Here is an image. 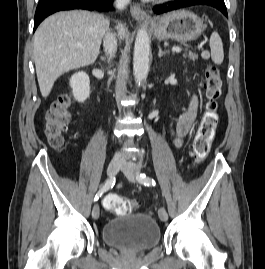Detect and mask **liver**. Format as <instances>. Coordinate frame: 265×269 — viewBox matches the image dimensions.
Returning <instances> with one entry per match:
<instances>
[{"instance_id":"6515ba94","label":"liver","mask_w":265,"mask_h":269,"mask_svg":"<svg viewBox=\"0 0 265 269\" xmlns=\"http://www.w3.org/2000/svg\"><path fill=\"white\" fill-rule=\"evenodd\" d=\"M109 26L103 15L89 11H64L45 19L33 38L37 79L43 97L55 81L72 69L93 64ZM122 37L125 27L118 25Z\"/></svg>"}]
</instances>
